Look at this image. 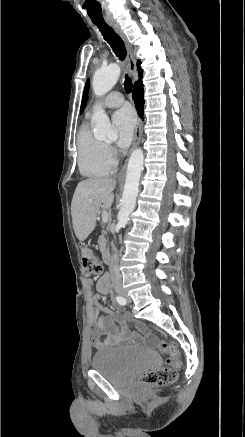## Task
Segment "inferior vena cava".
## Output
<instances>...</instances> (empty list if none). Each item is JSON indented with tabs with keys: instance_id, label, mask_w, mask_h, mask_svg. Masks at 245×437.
Returning a JSON list of instances; mask_svg holds the SVG:
<instances>
[{
	"instance_id": "inferior-vena-cava-1",
	"label": "inferior vena cava",
	"mask_w": 245,
	"mask_h": 437,
	"mask_svg": "<svg viewBox=\"0 0 245 437\" xmlns=\"http://www.w3.org/2000/svg\"><path fill=\"white\" fill-rule=\"evenodd\" d=\"M111 280L114 286L121 285V274L118 267V252L114 249V253L111 256V262L109 265Z\"/></svg>"
}]
</instances>
